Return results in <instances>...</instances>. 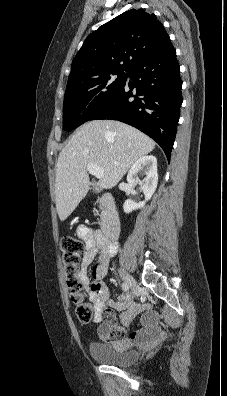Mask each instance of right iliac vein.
Here are the masks:
<instances>
[{"instance_id":"1","label":"right iliac vein","mask_w":227,"mask_h":396,"mask_svg":"<svg viewBox=\"0 0 227 396\" xmlns=\"http://www.w3.org/2000/svg\"><path fill=\"white\" fill-rule=\"evenodd\" d=\"M120 276L125 281V283H127L131 287L133 293L136 296H138L140 294V291H139V286H138L137 282L135 281V279L131 275H129L127 272H125L124 270L120 271Z\"/></svg>"}]
</instances>
